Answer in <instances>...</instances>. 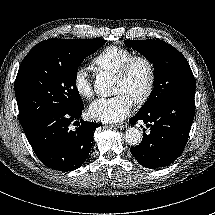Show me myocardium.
I'll return each instance as SVG.
<instances>
[{
    "label": "myocardium",
    "instance_id": "1",
    "mask_svg": "<svg viewBox=\"0 0 215 215\" xmlns=\"http://www.w3.org/2000/svg\"><path fill=\"white\" fill-rule=\"evenodd\" d=\"M143 63L147 69V84L142 96L134 100V104L138 107L145 105L153 94L156 84V71L152 60L143 54H134L128 58L116 71L115 77L125 79L129 76L133 66L136 63Z\"/></svg>",
    "mask_w": 215,
    "mask_h": 215
}]
</instances>
